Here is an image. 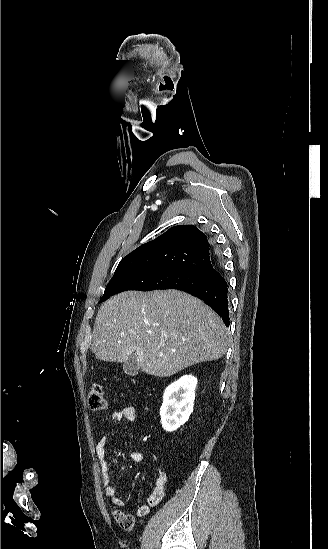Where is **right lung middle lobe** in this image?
<instances>
[{"mask_svg": "<svg viewBox=\"0 0 328 549\" xmlns=\"http://www.w3.org/2000/svg\"><path fill=\"white\" fill-rule=\"evenodd\" d=\"M207 279L194 272L163 267H134L114 273L100 302L125 290L151 291L157 289H178L197 285Z\"/></svg>", "mask_w": 328, "mask_h": 549, "instance_id": "1", "label": "right lung middle lobe"}]
</instances>
